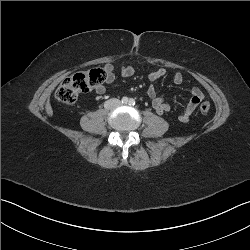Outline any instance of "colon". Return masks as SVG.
<instances>
[{"label":"colon","instance_id":"5ec220e1","mask_svg":"<svg viewBox=\"0 0 250 250\" xmlns=\"http://www.w3.org/2000/svg\"><path fill=\"white\" fill-rule=\"evenodd\" d=\"M104 81L105 73L101 69L78 72L61 82L55 92V97L63 104H72L76 101L79 94L96 88ZM210 108L209 102H203L200 105V111L203 114H207Z\"/></svg>","mask_w":250,"mask_h":250}]
</instances>
